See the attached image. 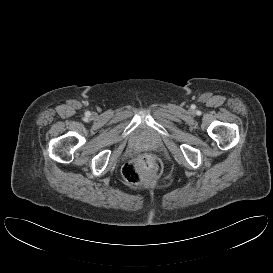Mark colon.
<instances>
[{
    "label": "colon",
    "mask_w": 273,
    "mask_h": 273,
    "mask_svg": "<svg viewBox=\"0 0 273 273\" xmlns=\"http://www.w3.org/2000/svg\"><path fill=\"white\" fill-rule=\"evenodd\" d=\"M160 172L161 163L152 155H143L125 164L122 170L124 179L131 184H139L144 178L156 177Z\"/></svg>",
    "instance_id": "1"
}]
</instances>
